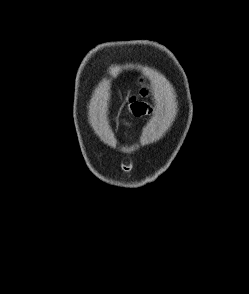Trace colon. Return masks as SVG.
<instances>
[{"label":"colon","instance_id":"colon-1","mask_svg":"<svg viewBox=\"0 0 249 294\" xmlns=\"http://www.w3.org/2000/svg\"><path fill=\"white\" fill-rule=\"evenodd\" d=\"M141 94H142V96H146L147 95V91L146 90H143Z\"/></svg>","mask_w":249,"mask_h":294}]
</instances>
